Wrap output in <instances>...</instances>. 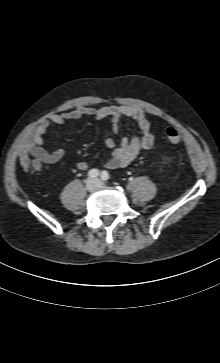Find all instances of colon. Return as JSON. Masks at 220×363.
Masks as SVG:
<instances>
[{"label":"colon","instance_id":"1","mask_svg":"<svg viewBox=\"0 0 220 363\" xmlns=\"http://www.w3.org/2000/svg\"><path fill=\"white\" fill-rule=\"evenodd\" d=\"M166 138L168 142L173 145H177L182 141L180 133L174 128L167 129Z\"/></svg>","mask_w":220,"mask_h":363}]
</instances>
